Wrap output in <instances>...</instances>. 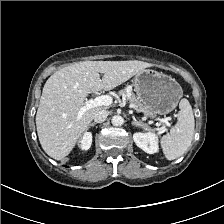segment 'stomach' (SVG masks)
<instances>
[{
  "label": "stomach",
  "mask_w": 224,
  "mask_h": 224,
  "mask_svg": "<svg viewBox=\"0 0 224 224\" xmlns=\"http://www.w3.org/2000/svg\"><path fill=\"white\" fill-rule=\"evenodd\" d=\"M135 92L145 107V115L157 118L174 110L183 95L180 84L171 76L144 69L134 78Z\"/></svg>",
  "instance_id": "obj_1"
}]
</instances>
